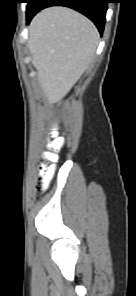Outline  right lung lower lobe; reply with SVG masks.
Wrapping results in <instances>:
<instances>
[{
    "label": "right lung lower lobe",
    "instance_id": "1",
    "mask_svg": "<svg viewBox=\"0 0 136 296\" xmlns=\"http://www.w3.org/2000/svg\"><path fill=\"white\" fill-rule=\"evenodd\" d=\"M108 2V0H33L31 2V8L27 11V24L43 8L49 6H66L87 16L94 22L100 34H102Z\"/></svg>",
    "mask_w": 136,
    "mask_h": 296
}]
</instances>
